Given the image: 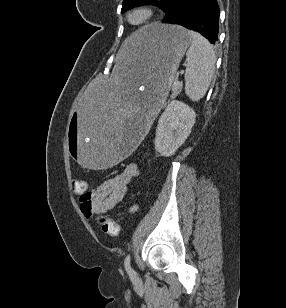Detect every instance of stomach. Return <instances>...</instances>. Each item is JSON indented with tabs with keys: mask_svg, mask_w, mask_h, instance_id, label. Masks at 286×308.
I'll return each mask as SVG.
<instances>
[{
	"mask_svg": "<svg viewBox=\"0 0 286 308\" xmlns=\"http://www.w3.org/2000/svg\"><path fill=\"white\" fill-rule=\"evenodd\" d=\"M136 33L120 44L109 81H98L72 112L67 149L78 168H115L143 144L192 42L179 25L153 23Z\"/></svg>",
	"mask_w": 286,
	"mask_h": 308,
	"instance_id": "stomach-1",
	"label": "stomach"
}]
</instances>
